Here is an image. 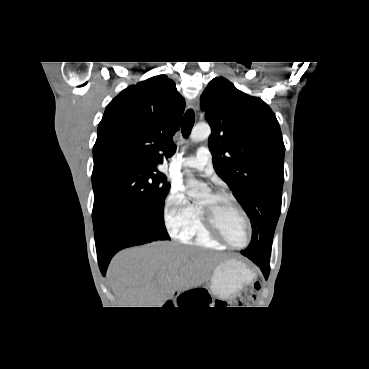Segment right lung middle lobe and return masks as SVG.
Wrapping results in <instances>:
<instances>
[{"label":"right lung middle lobe","instance_id":"obj_1","mask_svg":"<svg viewBox=\"0 0 369 369\" xmlns=\"http://www.w3.org/2000/svg\"><path fill=\"white\" fill-rule=\"evenodd\" d=\"M94 230L114 213L141 218L161 240H170L164 224V201L170 184L162 173L134 165L94 166Z\"/></svg>","mask_w":369,"mask_h":369}]
</instances>
